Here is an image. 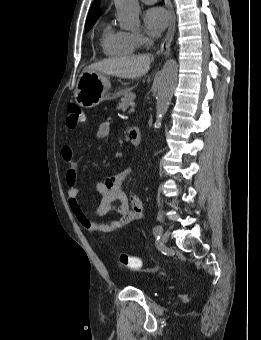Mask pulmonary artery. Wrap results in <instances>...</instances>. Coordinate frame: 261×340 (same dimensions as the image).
<instances>
[{"label": "pulmonary artery", "mask_w": 261, "mask_h": 340, "mask_svg": "<svg viewBox=\"0 0 261 340\" xmlns=\"http://www.w3.org/2000/svg\"><path fill=\"white\" fill-rule=\"evenodd\" d=\"M142 1L148 4L156 2V0H142Z\"/></svg>", "instance_id": "obj_1"}]
</instances>
